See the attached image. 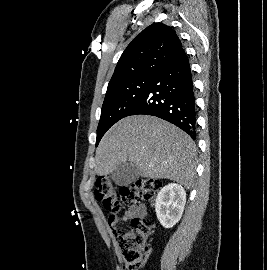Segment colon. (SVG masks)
I'll return each mask as SVG.
<instances>
[{
  "label": "colon",
  "instance_id": "obj_1",
  "mask_svg": "<svg viewBox=\"0 0 267 270\" xmlns=\"http://www.w3.org/2000/svg\"><path fill=\"white\" fill-rule=\"evenodd\" d=\"M160 187V181L152 178L139 179L130 185L117 187L110 179L99 177L95 183L94 196L114 216L124 205L153 202ZM150 228V220L141 217L133 219L127 230L115 233L124 270L140 269L150 248Z\"/></svg>",
  "mask_w": 267,
  "mask_h": 270
}]
</instances>
